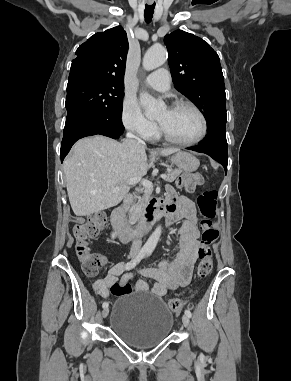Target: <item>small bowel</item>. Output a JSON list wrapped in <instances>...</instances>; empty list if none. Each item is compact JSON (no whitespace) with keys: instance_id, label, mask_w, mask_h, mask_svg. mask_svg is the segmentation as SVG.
<instances>
[{"instance_id":"small-bowel-1","label":"small bowel","mask_w":291,"mask_h":381,"mask_svg":"<svg viewBox=\"0 0 291 381\" xmlns=\"http://www.w3.org/2000/svg\"><path fill=\"white\" fill-rule=\"evenodd\" d=\"M164 204L170 225L182 220L178 230L180 251L173 260H163L156 267L139 271L142 276L154 280L153 286L150 287L144 280H139L134 285L136 291H149L156 296H164L168 291L190 282L199 246L194 204L190 200L179 198L173 191H169ZM132 278L131 273L124 272V263L119 262L109 269L104 278L96 280L93 288L101 297L107 298L110 294L109 288L114 283H129Z\"/></svg>"}]
</instances>
